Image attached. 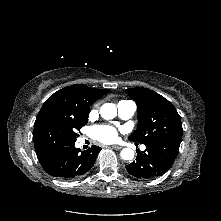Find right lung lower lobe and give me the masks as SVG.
<instances>
[{"label": "right lung lower lobe", "mask_w": 221, "mask_h": 221, "mask_svg": "<svg viewBox=\"0 0 221 221\" xmlns=\"http://www.w3.org/2000/svg\"><path fill=\"white\" fill-rule=\"evenodd\" d=\"M100 150V147L93 145L80 152L73 143L37 154V158L51 176L71 180L81 177L93 167Z\"/></svg>", "instance_id": "right-lung-lower-lobe-1"}]
</instances>
